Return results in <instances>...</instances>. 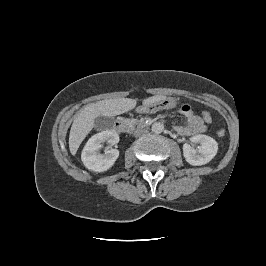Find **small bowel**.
<instances>
[{
	"instance_id": "obj_1",
	"label": "small bowel",
	"mask_w": 266,
	"mask_h": 266,
	"mask_svg": "<svg viewBox=\"0 0 266 266\" xmlns=\"http://www.w3.org/2000/svg\"><path fill=\"white\" fill-rule=\"evenodd\" d=\"M181 115L186 119V125H176L175 131L181 136H193L203 133L206 130V125L202 118L195 114L192 107L184 104L180 108Z\"/></svg>"
}]
</instances>
